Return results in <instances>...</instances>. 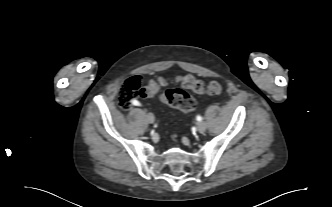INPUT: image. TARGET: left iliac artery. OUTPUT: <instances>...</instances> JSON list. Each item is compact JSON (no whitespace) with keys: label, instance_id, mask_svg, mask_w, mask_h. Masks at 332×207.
<instances>
[{"label":"left iliac artery","instance_id":"1","mask_svg":"<svg viewBox=\"0 0 332 207\" xmlns=\"http://www.w3.org/2000/svg\"><path fill=\"white\" fill-rule=\"evenodd\" d=\"M196 119L197 121H202V117L200 115H197Z\"/></svg>","mask_w":332,"mask_h":207}]
</instances>
